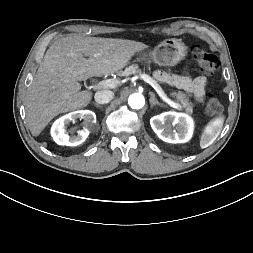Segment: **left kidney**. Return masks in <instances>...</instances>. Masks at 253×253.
<instances>
[{
	"label": "left kidney",
	"mask_w": 253,
	"mask_h": 253,
	"mask_svg": "<svg viewBox=\"0 0 253 253\" xmlns=\"http://www.w3.org/2000/svg\"><path fill=\"white\" fill-rule=\"evenodd\" d=\"M150 125L157 136L168 143L188 142L193 133V120L184 113L164 112L150 119ZM171 126L174 129H171Z\"/></svg>",
	"instance_id": "5707ae66"
}]
</instances>
